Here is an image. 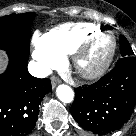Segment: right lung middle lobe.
I'll return each instance as SVG.
<instances>
[{"instance_id":"obj_1","label":"right lung middle lobe","mask_w":136,"mask_h":136,"mask_svg":"<svg viewBox=\"0 0 136 136\" xmlns=\"http://www.w3.org/2000/svg\"><path fill=\"white\" fill-rule=\"evenodd\" d=\"M35 13L0 17V49L29 53V32Z\"/></svg>"}]
</instances>
